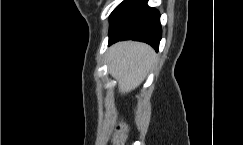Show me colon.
Wrapping results in <instances>:
<instances>
[{
  "mask_svg": "<svg viewBox=\"0 0 243 145\" xmlns=\"http://www.w3.org/2000/svg\"><path fill=\"white\" fill-rule=\"evenodd\" d=\"M127 134V127L125 125L118 126L114 138H113V145H121L126 138Z\"/></svg>",
  "mask_w": 243,
  "mask_h": 145,
  "instance_id": "colon-1",
  "label": "colon"
}]
</instances>
